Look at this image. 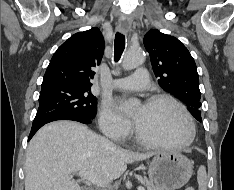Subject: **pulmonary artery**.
Segmentation results:
<instances>
[{
  "label": "pulmonary artery",
  "instance_id": "obj_1",
  "mask_svg": "<svg viewBox=\"0 0 234 190\" xmlns=\"http://www.w3.org/2000/svg\"><path fill=\"white\" fill-rule=\"evenodd\" d=\"M149 85L147 69L139 67L136 73L129 77L117 78L113 81V87L122 90H142Z\"/></svg>",
  "mask_w": 234,
  "mask_h": 190
}]
</instances>
